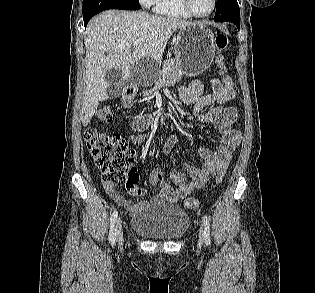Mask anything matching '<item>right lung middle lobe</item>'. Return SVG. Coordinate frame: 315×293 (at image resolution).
I'll return each instance as SVG.
<instances>
[{
	"mask_svg": "<svg viewBox=\"0 0 315 293\" xmlns=\"http://www.w3.org/2000/svg\"><path fill=\"white\" fill-rule=\"evenodd\" d=\"M126 1L133 2V3H139V0H126Z\"/></svg>",
	"mask_w": 315,
	"mask_h": 293,
	"instance_id": "1",
	"label": "right lung middle lobe"
}]
</instances>
